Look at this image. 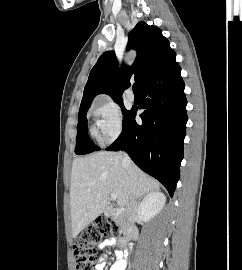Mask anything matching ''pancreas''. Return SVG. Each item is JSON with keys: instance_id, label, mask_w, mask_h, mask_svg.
I'll list each match as a JSON object with an SVG mask.
<instances>
[{"instance_id": "obj_1", "label": "pancreas", "mask_w": 242, "mask_h": 270, "mask_svg": "<svg viewBox=\"0 0 242 270\" xmlns=\"http://www.w3.org/2000/svg\"><path fill=\"white\" fill-rule=\"evenodd\" d=\"M112 220L116 223L117 226L121 228L122 231L123 223L120 220L116 219L115 217H113Z\"/></svg>"}]
</instances>
